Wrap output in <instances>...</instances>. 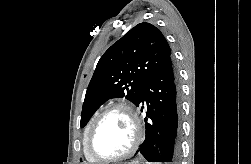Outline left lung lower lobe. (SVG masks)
I'll use <instances>...</instances> for the list:
<instances>
[{"mask_svg": "<svg viewBox=\"0 0 251 164\" xmlns=\"http://www.w3.org/2000/svg\"><path fill=\"white\" fill-rule=\"evenodd\" d=\"M180 84L172 58H169L146 81L138 102L147 109L146 138L136 154L148 162H178L180 147Z\"/></svg>", "mask_w": 251, "mask_h": 164, "instance_id": "1", "label": "left lung lower lobe"}]
</instances>
